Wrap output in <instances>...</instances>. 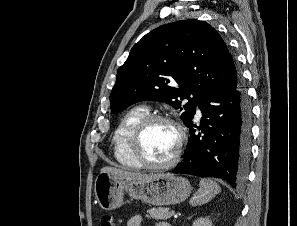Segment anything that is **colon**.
Returning a JSON list of instances; mask_svg holds the SVG:
<instances>
[{
    "mask_svg": "<svg viewBox=\"0 0 297 226\" xmlns=\"http://www.w3.org/2000/svg\"><path fill=\"white\" fill-rule=\"evenodd\" d=\"M100 226H116V223L112 216L106 214L101 217Z\"/></svg>",
    "mask_w": 297,
    "mask_h": 226,
    "instance_id": "colon-1",
    "label": "colon"
}]
</instances>
